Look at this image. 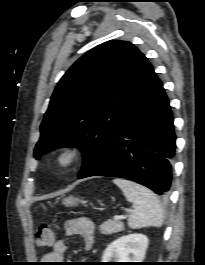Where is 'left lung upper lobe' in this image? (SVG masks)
<instances>
[{
	"label": "left lung upper lobe",
	"instance_id": "left-lung-upper-lobe-1",
	"mask_svg": "<svg viewBox=\"0 0 205 265\" xmlns=\"http://www.w3.org/2000/svg\"><path fill=\"white\" fill-rule=\"evenodd\" d=\"M152 73L153 66L130 42L108 41L88 51L58 82L34 157L55 148L79 147L82 171L142 94Z\"/></svg>",
	"mask_w": 205,
	"mask_h": 265
}]
</instances>
